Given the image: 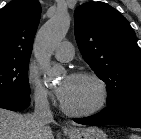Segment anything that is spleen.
<instances>
[{
  "label": "spleen",
  "mask_w": 141,
  "mask_h": 139,
  "mask_svg": "<svg viewBox=\"0 0 141 139\" xmlns=\"http://www.w3.org/2000/svg\"><path fill=\"white\" fill-rule=\"evenodd\" d=\"M130 139H141V137L137 136V135H131Z\"/></svg>",
  "instance_id": "1"
}]
</instances>
